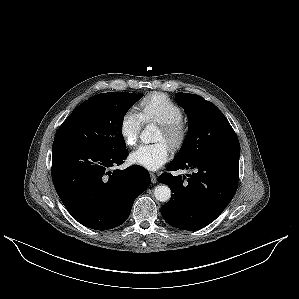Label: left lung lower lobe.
I'll return each instance as SVG.
<instances>
[{
	"instance_id": "0a47b994",
	"label": "left lung lower lobe",
	"mask_w": 299,
	"mask_h": 299,
	"mask_svg": "<svg viewBox=\"0 0 299 299\" xmlns=\"http://www.w3.org/2000/svg\"><path fill=\"white\" fill-rule=\"evenodd\" d=\"M240 144L231 139L198 157L175 161L166 169H195V173L173 176L163 173L159 183L173 192L161 207L164 220L184 230H198L214 221L232 200L238 186ZM186 179V180H185Z\"/></svg>"
}]
</instances>
